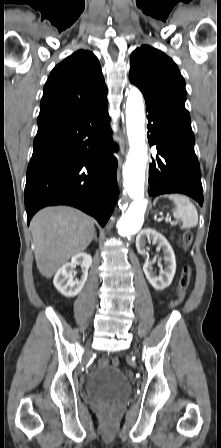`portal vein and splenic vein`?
<instances>
[{
  "label": "portal vein and splenic vein",
  "instance_id": "18ae733b",
  "mask_svg": "<svg viewBox=\"0 0 221 448\" xmlns=\"http://www.w3.org/2000/svg\"><path fill=\"white\" fill-rule=\"evenodd\" d=\"M165 221H166V222H170V223L174 224L173 222H171V219H170V218H168V217H167V218H165Z\"/></svg>",
  "mask_w": 221,
  "mask_h": 448
}]
</instances>
